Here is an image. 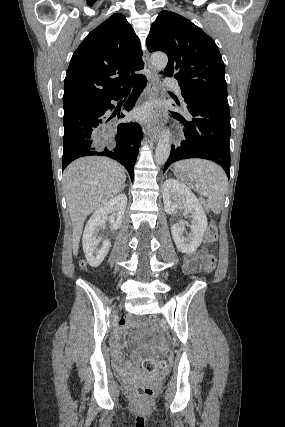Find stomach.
Returning a JSON list of instances; mask_svg holds the SVG:
<instances>
[{"mask_svg":"<svg viewBox=\"0 0 285 427\" xmlns=\"http://www.w3.org/2000/svg\"><path fill=\"white\" fill-rule=\"evenodd\" d=\"M175 174L176 177L183 182H192L194 179L191 173L186 169L176 171Z\"/></svg>","mask_w":285,"mask_h":427,"instance_id":"stomach-1","label":"stomach"}]
</instances>
